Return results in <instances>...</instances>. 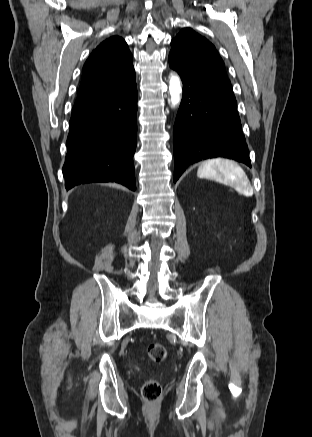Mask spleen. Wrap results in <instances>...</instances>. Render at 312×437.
<instances>
[{
  "label": "spleen",
  "instance_id": "obj_1",
  "mask_svg": "<svg viewBox=\"0 0 312 437\" xmlns=\"http://www.w3.org/2000/svg\"><path fill=\"white\" fill-rule=\"evenodd\" d=\"M197 176L230 185L245 196L253 194V188L243 169L228 159L216 158L203 162L198 168Z\"/></svg>",
  "mask_w": 312,
  "mask_h": 437
}]
</instances>
